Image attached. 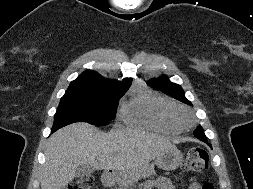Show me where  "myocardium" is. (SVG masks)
<instances>
[{
  "instance_id": "f54148a6",
  "label": "myocardium",
  "mask_w": 253,
  "mask_h": 189,
  "mask_svg": "<svg viewBox=\"0 0 253 189\" xmlns=\"http://www.w3.org/2000/svg\"><path fill=\"white\" fill-rule=\"evenodd\" d=\"M171 118L180 130H187L194 125L191 114L181 107H176L171 111Z\"/></svg>"
}]
</instances>
